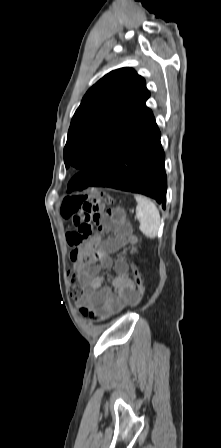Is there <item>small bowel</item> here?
<instances>
[{
    "label": "small bowel",
    "instance_id": "c3829d8e",
    "mask_svg": "<svg viewBox=\"0 0 221 448\" xmlns=\"http://www.w3.org/2000/svg\"><path fill=\"white\" fill-rule=\"evenodd\" d=\"M102 216L103 223H107L106 215ZM113 234L105 239L94 236L86 240H82L76 230L68 231L65 235V241L71 247L70 258L83 284V293L78 302L93 311L100 320L110 318L137 302L135 284L127 262L122 258L113 260L111 257L112 253L129 243L137 242V237L121 225L113 228ZM94 248L98 249V260L86 261L84 257ZM112 267L116 273L114 277L99 274L100 269ZM105 282L111 287L103 288Z\"/></svg>",
    "mask_w": 221,
    "mask_h": 448
}]
</instances>
